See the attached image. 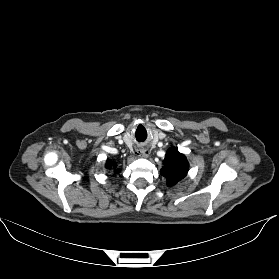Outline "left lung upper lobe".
Masks as SVG:
<instances>
[{
  "mask_svg": "<svg viewBox=\"0 0 279 279\" xmlns=\"http://www.w3.org/2000/svg\"><path fill=\"white\" fill-rule=\"evenodd\" d=\"M164 162V167L161 169V175L167 179L168 186H174L177 182L183 179L189 169V163L186 157L179 153L175 148H170Z\"/></svg>",
  "mask_w": 279,
  "mask_h": 279,
  "instance_id": "5c2ea615",
  "label": "left lung upper lobe"
}]
</instances>
